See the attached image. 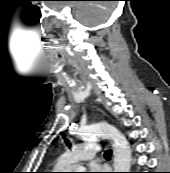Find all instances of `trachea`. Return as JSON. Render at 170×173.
<instances>
[{"label": "trachea", "mask_w": 170, "mask_h": 173, "mask_svg": "<svg viewBox=\"0 0 170 173\" xmlns=\"http://www.w3.org/2000/svg\"><path fill=\"white\" fill-rule=\"evenodd\" d=\"M112 151L111 150H106L104 153L105 157H111Z\"/></svg>", "instance_id": "obj_1"}]
</instances>
